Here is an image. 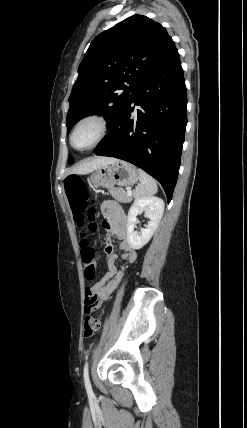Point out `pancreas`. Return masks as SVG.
I'll return each instance as SVG.
<instances>
[{
    "instance_id": "cf45deb5",
    "label": "pancreas",
    "mask_w": 247,
    "mask_h": 428,
    "mask_svg": "<svg viewBox=\"0 0 247 428\" xmlns=\"http://www.w3.org/2000/svg\"><path fill=\"white\" fill-rule=\"evenodd\" d=\"M110 194L112 195V197L122 203H129L132 201V196H128L127 192L124 191L123 188H110L109 189Z\"/></svg>"
}]
</instances>
